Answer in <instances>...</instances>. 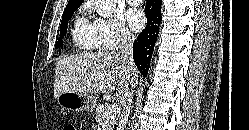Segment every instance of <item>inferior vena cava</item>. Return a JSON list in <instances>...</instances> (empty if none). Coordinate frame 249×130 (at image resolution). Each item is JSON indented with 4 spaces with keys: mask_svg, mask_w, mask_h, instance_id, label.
Returning <instances> with one entry per match:
<instances>
[{
    "mask_svg": "<svg viewBox=\"0 0 249 130\" xmlns=\"http://www.w3.org/2000/svg\"><path fill=\"white\" fill-rule=\"evenodd\" d=\"M134 36L128 32L122 35L119 51L117 53L118 60L125 66L129 78L136 72L135 63L133 60V42ZM133 90H131L125 101H123V111L120 118L119 129H124L128 122L131 104H132Z\"/></svg>",
    "mask_w": 249,
    "mask_h": 130,
    "instance_id": "1",
    "label": "inferior vena cava"
}]
</instances>
